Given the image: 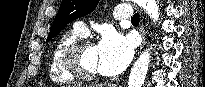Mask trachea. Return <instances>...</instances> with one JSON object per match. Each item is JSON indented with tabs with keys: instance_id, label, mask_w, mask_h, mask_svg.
Here are the masks:
<instances>
[{
	"instance_id": "trachea-1",
	"label": "trachea",
	"mask_w": 205,
	"mask_h": 87,
	"mask_svg": "<svg viewBox=\"0 0 205 87\" xmlns=\"http://www.w3.org/2000/svg\"><path fill=\"white\" fill-rule=\"evenodd\" d=\"M140 18H139V13H136L132 18L131 21L132 22H139Z\"/></svg>"
}]
</instances>
